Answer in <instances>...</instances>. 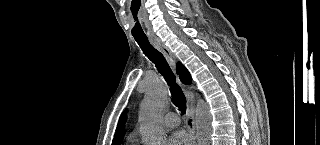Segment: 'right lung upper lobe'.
Here are the masks:
<instances>
[{
	"label": "right lung upper lobe",
	"mask_w": 320,
	"mask_h": 145,
	"mask_svg": "<svg viewBox=\"0 0 320 145\" xmlns=\"http://www.w3.org/2000/svg\"><path fill=\"white\" fill-rule=\"evenodd\" d=\"M177 72L180 76V80L185 83V84H191L192 79L190 76V73L188 72V70L185 68L184 65H182L180 62L177 63ZM126 111H124L119 119L118 125H117V129H116V133L113 139L112 144L114 145H119L121 140L124 137V124L126 122Z\"/></svg>",
	"instance_id": "right-lung-upper-lobe-1"
}]
</instances>
